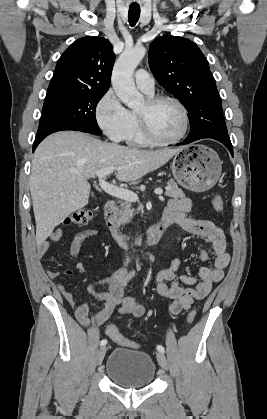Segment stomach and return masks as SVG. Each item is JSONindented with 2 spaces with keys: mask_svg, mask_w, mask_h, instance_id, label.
<instances>
[{
  "mask_svg": "<svg viewBox=\"0 0 267 419\" xmlns=\"http://www.w3.org/2000/svg\"><path fill=\"white\" fill-rule=\"evenodd\" d=\"M222 162L217 153L202 144L181 147L174 155L171 169L174 179L184 188L204 192L219 180Z\"/></svg>",
  "mask_w": 267,
  "mask_h": 419,
  "instance_id": "0dacf381",
  "label": "stomach"
}]
</instances>
